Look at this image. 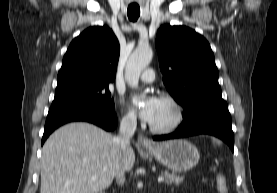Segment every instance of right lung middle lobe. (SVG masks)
<instances>
[{"label": "right lung middle lobe", "instance_id": "1", "mask_svg": "<svg viewBox=\"0 0 277 193\" xmlns=\"http://www.w3.org/2000/svg\"><path fill=\"white\" fill-rule=\"evenodd\" d=\"M77 101L114 111V100L108 85L82 87L67 91L55 92L54 101Z\"/></svg>", "mask_w": 277, "mask_h": 193}]
</instances>
